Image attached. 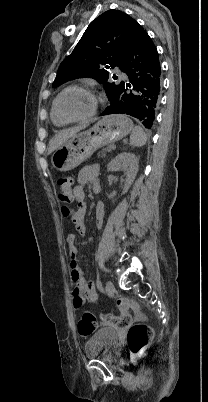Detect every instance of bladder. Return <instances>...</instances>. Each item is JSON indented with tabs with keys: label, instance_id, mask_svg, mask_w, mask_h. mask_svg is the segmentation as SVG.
Segmentation results:
<instances>
[{
	"label": "bladder",
	"instance_id": "obj_1",
	"mask_svg": "<svg viewBox=\"0 0 208 402\" xmlns=\"http://www.w3.org/2000/svg\"><path fill=\"white\" fill-rule=\"evenodd\" d=\"M121 339L117 330L113 328H100L90 337L85 345L87 357L115 358L120 349Z\"/></svg>",
	"mask_w": 208,
	"mask_h": 402
}]
</instances>
